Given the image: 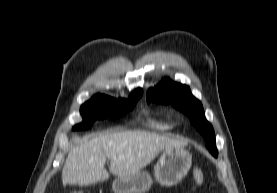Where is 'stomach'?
Instances as JSON below:
<instances>
[{
    "instance_id": "0dacf381",
    "label": "stomach",
    "mask_w": 277,
    "mask_h": 193,
    "mask_svg": "<svg viewBox=\"0 0 277 193\" xmlns=\"http://www.w3.org/2000/svg\"><path fill=\"white\" fill-rule=\"evenodd\" d=\"M192 164L191 154L183 147L167 148L154 167L156 181L166 187L178 184L187 174ZM152 185V178L146 171L120 177L113 181L115 193H145Z\"/></svg>"
}]
</instances>
